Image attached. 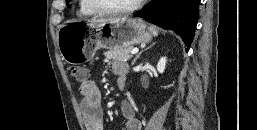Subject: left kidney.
Wrapping results in <instances>:
<instances>
[{
  "mask_svg": "<svg viewBox=\"0 0 257 130\" xmlns=\"http://www.w3.org/2000/svg\"><path fill=\"white\" fill-rule=\"evenodd\" d=\"M166 62H167V58L166 57H162L158 63H157V71L159 73H163L165 71V67H166Z\"/></svg>",
  "mask_w": 257,
  "mask_h": 130,
  "instance_id": "5707ae66",
  "label": "left kidney"
}]
</instances>
